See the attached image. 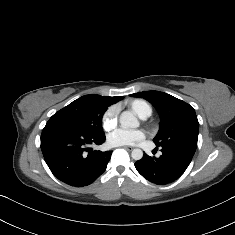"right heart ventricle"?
<instances>
[{
	"mask_svg": "<svg viewBox=\"0 0 235 235\" xmlns=\"http://www.w3.org/2000/svg\"><path fill=\"white\" fill-rule=\"evenodd\" d=\"M130 106L140 117L145 115L150 116L152 113L151 106L144 100H134Z\"/></svg>",
	"mask_w": 235,
	"mask_h": 235,
	"instance_id": "e07e8e85",
	"label": "right heart ventricle"
}]
</instances>
